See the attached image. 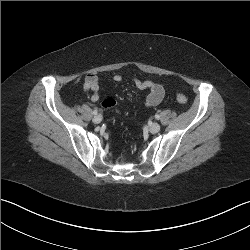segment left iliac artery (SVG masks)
<instances>
[{"label":"left iliac artery","instance_id":"1","mask_svg":"<svg viewBox=\"0 0 250 250\" xmlns=\"http://www.w3.org/2000/svg\"><path fill=\"white\" fill-rule=\"evenodd\" d=\"M155 118H156V119H159V118H160V116H159L158 114H156V115H155Z\"/></svg>","mask_w":250,"mask_h":250}]
</instances>
